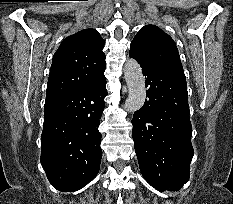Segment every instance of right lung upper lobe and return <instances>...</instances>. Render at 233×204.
Wrapping results in <instances>:
<instances>
[{"label": "right lung upper lobe", "mask_w": 233, "mask_h": 204, "mask_svg": "<svg viewBox=\"0 0 233 204\" xmlns=\"http://www.w3.org/2000/svg\"><path fill=\"white\" fill-rule=\"evenodd\" d=\"M105 41L95 29L81 30L64 39L55 52L46 99L81 88L105 69Z\"/></svg>", "instance_id": "right-lung-upper-lobe-1"}]
</instances>
